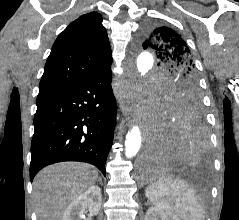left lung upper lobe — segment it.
Masks as SVG:
<instances>
[{"mask_svg":"<svg viewBox=\"0 0 239 220\" xmlns=\"http://www.w3.org/2000/svg\"><path fill=\"white\" fill-rule=\"evenodd\" d=\"M143 48L153 50L173 75L174 81L162 97V109L171 112L196 109L203 112L201 92L192 53L185 40L168 26L147 25Z\"/></svg>","mask_w":239,"mask_h":220,"instance_id":"5c2ea615","label":"left lung upper lobe"}]
</instances>
